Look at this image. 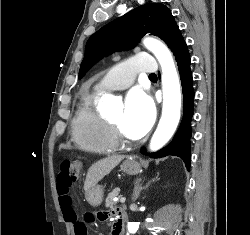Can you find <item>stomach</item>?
Instances as JSON below:
<instances>
[{
  "mask_svg": "<svg viewBox=\"0 0 250 235\" xmlns=\"http://www.w3.org/2000/svg\"><path fill=\"white\" fill-rule=\"evenodd\" d=\"M121 170L128 175H135L140 170V165L133 159H127L121 164ZM103 188L99 185L92 187L86 194L88 203L91 206H99L103 201Z\"/></svg>",
  "mask_w": 250,
  "mask_h": 235,
  "instance_id": "obj_1",
  "label": "stomach"
}]
</instances>
